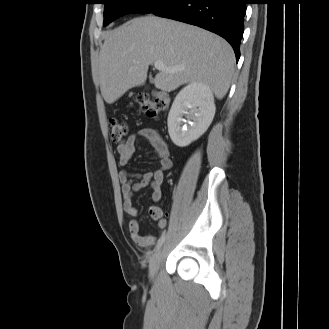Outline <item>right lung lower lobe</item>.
Segmentation results:
<instances>
[{
  "mask_svg": "<svg viewBox=\"0 0 329 329\" xmlns=\"http://www.w3.org/2000/svg\"><path fill=\"white\" fill-rule=\"evenodd\" d=\"M246 0H172L153 14L214 32L226 39L240 57Z\"/></svg>",
  "mask_w": 329,
  "mask_h": 329,
  "instance_id": "right-lung-lower-lobe-1",
  "label": "right lung lower lobe"
}]
</instances>
